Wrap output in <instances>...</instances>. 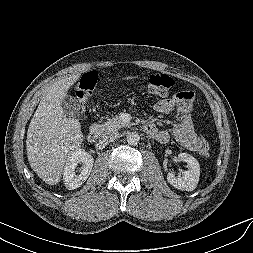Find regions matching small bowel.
Wrapping results in <instances>:
<instances>
[{"mask_svg":"<svg viewBox=\"0 0 253 253\" xmlns=\"http://www.w3.org/2000/svg\"><path fill=\"white\" fill-rule=\"evenodd\" d=\"M192 103L179 101L176 98H164L155 105V110L168 114L174 109L179 111V119L171 130L157 129L151 122L145 124V131L154 139L165 143L173 134L177 141L191 151H198L199 137L197 136L191 118Z\"/></svg>","mask_w":253,"mask_h":253,"instance_id":"1","label":"small bowel"}]
</instances>
